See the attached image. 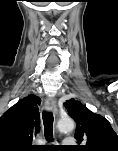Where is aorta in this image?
<instances>
[{
	"mask_svg": "<svg viewBox=\"0 0 118 151\" xmlns=\"http://www.w3.org/2000/svg\"><path fill=\"white\" fill-rule=\"evenodd\" d=\"M57 128L60 132H72L75 128V124L69 117L61 118L57 123Z\"/></svg>",
	"mask_w": 118,
	"mask_h": 151,
	"instance_id": "aorta-1",
	"label": "aorta"
}]
</instances>
